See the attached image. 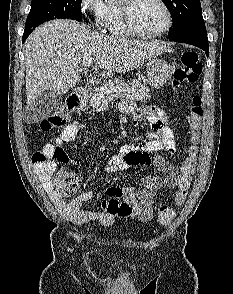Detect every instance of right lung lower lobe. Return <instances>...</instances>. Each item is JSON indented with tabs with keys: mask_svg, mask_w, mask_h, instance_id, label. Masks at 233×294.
I'll use <instances>...</instances> for the list:
<instances>
[{
	"mask_svg": "<svg viewBox=\"0 0 233 294\" xmlns=\"http://www.w3.org/2000/svg\"><path fill=\"white\" fill-rule=\"evenodd\" d=\"M32 31H24L23 37H22V42H24L26 40V38L28 37V35L31 33Z\"/></svg>",
	"mask_w": 233,
	"mask_h": 294,
	"instance_id": "1",
	"label": "right lung lower lobe"
}]
</instances>
